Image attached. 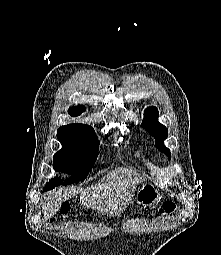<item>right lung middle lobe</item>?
<instances>
[{"label":"right lung middle lobe","instance_id":"1","mask_svg":"<svg viewBox=\"0 0 221 255\" xmlns=\"http://www.w3.org/2000/svg\"><path fill=\"white\" fill-rule=\"evenodd\" d=\"M57 138L62 149L53 157L54 169L71 177L64 180L56 176L45 186L50 189L84 180L97 159L100 144L95 132L74 129L59 128Z\"/></svg>","mask_w":221,"mask_h":255}]
</instances>
